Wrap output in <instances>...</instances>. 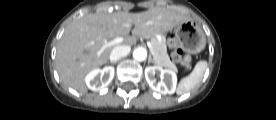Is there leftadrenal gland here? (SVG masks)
Instances as JSON below:
<instances>
[{
    "instance_id": "a2214340",
    "label": "left adrenal gland",
    "mask_w": 276,
    "mask_h": 120,
    "mask_svg": "<svg viewBox=\"0 0 276 120\" xmlns=\"http://www.w3.org/2000/svg\"><path fill=\"white\" fill-rule=\"evenodd\" d=\"M148 63H155V61L152 59L151 55H149Z\"/></svg>"
}]
</instances>
